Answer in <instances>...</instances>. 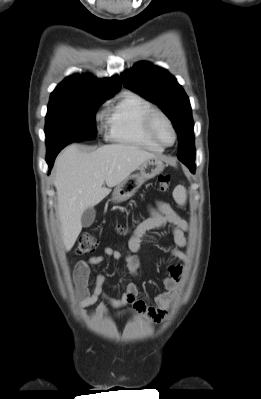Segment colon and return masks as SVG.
<instances>
[{"label": "colon", "mask_w": 261, "mask_h": 399, "mask_svg": "<svg viewBox=\"0 0 261 399\" xmlns=\"http://www.w3.org/2000/svg\"><path fill=\"white\" fill-rule=\"evenodd\" d=\"M158 189L161 192H167L170 189L172 178L169 174L158 176ZM97 246L96 238L89 232L81 234L78 238L76 252L80 255L92 252Z\"/></svg>", "instance_id": "1"}]
</instances>
